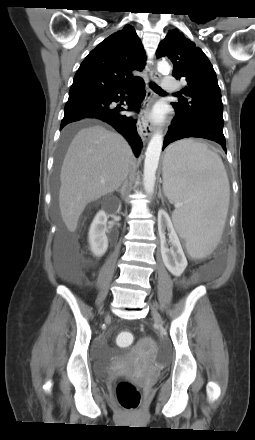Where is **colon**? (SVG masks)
<instances>
[{"label":"colon","instance_id":"5ec220e1","mask_svg":"<svg viewBox=\"0 0 255 440\" xmlns=\"http://www.w3.org/2000/svg\"><path fill=\"white\" fill-rule=\"evenodd\" d=\"M133 341L134 336L128 331L120 332L116 338V342L120 347H128ZM116 397L119 404L127 410L136 409L140 403V396L137 388L127 381H121L118 383Z\"/></svg>","mask_w":255,"mask_h":440}]
</instances>
